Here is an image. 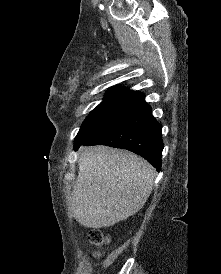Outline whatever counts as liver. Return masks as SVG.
Returning a JSON list of instances; mask_svg holds the SVG:
<instances>
[{
	"mask_svg": "<svg viewBox=\"0 0 221 274\" xmlns=\"http://www.w3.org/2000/svg\"><path fill=\"white\" fill-rule=\"evenodd\" d=\"M78 167L68 209L87 228L113 226L139 211L156 176L147 161L106 146L85 148Z\"/></svg>",
	"mask_w": 221,
	"mask_h": 274,
	"instance_id": "obj_1",
	"label": "liver"
}]
</instances>
